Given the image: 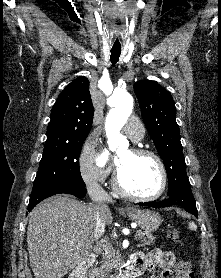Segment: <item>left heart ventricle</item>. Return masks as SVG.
I'll return each instance as SVG.
<instances>
[{
    "label": "left heart ventricle",
    "instance_id": "b2bd125f",
    "mask_svg": "<svg viewBox=\"0 0 221 278\" xmlns=\"http://www.w3.org/2000/svg\"><path fill=\"white\" fill-rule=\"evenodd\" d=\"M117 163L123 183L134 193L151 195L159 190L161 173L153 158L123 149L117 155Z\"/></svg>",
    "mask_w": 221,
    "mask_h": 278
}]
</instances>
